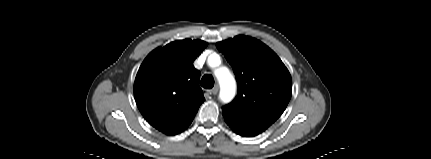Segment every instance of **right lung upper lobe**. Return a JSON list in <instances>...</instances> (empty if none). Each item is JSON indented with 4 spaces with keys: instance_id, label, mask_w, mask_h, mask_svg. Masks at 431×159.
Listing matches in <instances>:
<instances>
[{
    "instance_id": "1",
    "label": "right lung upper lobe",
    "mask_w": 431,
    "mask_h": 159,
    "mask_svg": "<svg viewBox=\"0 0 431 159\" xmlns=\"http://www.w3.org/2000/svg\"><path fill=\"white\" fill-rule=\"evenodd\" d=\"M206 46L202 40L174 41L153 50L139 68L137 106L148 123L167 135L184 131L205 100L193 62Z\"/></svg>"
}]
</instances>
